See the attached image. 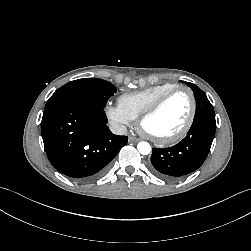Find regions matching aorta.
Masks as SVG:
<instances>
[{"instance_id": "1", "label": "aorta", "mask_w": 251, "mask_h": 251, "mask_svg": "<svg viewBox=\"0 0 251 251\" xmlns=\"http://www.w3.org/2000/svg\"><path fill=\"white\" fill-rule=\"evenodd\" d=\"M137 149H138L140 154L147 155L151 151V146L147 142H139L138 145H137Z\"/></svg>"}]
</instances>
